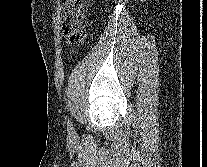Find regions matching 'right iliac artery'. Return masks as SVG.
Masks as SVG:
<instances>
[{
	"label": "right iliac artery",
	"instance_id": "obj_1",
	"mask_svg": "<svg viewBox=\"0 0 207 167\" xmlns=\"http://www.w3.org/2000/svg\"><path fill=\"white\" fill-rule=\"evenodd\" d=\"M72 130H73L72 124L70 121H68V131L72 132Z\"/></svg>",
	"mask_w": 207,
	"mask_h": 167
}]
</instances>
